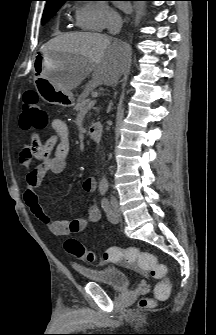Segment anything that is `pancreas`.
Wrapping results in <instances>:
<instances>
[{
    "instance_id": "cf45deb5",
    "label": "pancreas",
    "mask_w": 216,
    "mask_h": 335,
    "mask_svg": "<svg viewBox=\"0 0 216 335\" xmlns=\"http://www.w3.org/2000/svg\"><path fill=\"white\" fill-rule=\"evenodd\" d=\"M91 86H88V88H90ZM90 90H86L84 91L77 99V104L74 107L75 111H80V110H87L89 109V96Z\"/></svg>"
}]
</instances>
